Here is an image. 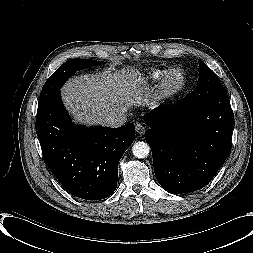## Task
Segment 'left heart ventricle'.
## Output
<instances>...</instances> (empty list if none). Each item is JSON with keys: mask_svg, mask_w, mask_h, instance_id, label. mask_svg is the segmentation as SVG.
Instances as JSON below:
<instances>
[{"mask_svg": "<svg viewBox=\"0 0 253 253\" xmlns=\"http://www.w3.org/2000/svg\"><path fill=\"white\" fill-rule=\"evenodd\" d=\"M181 81V78L179 75H173L168 82L169 87L173 88L176 87Z\"/></svg>", "mask_w": 253, "mask_h": 253, "instance_id": "b2bd125f", "label": "left heart ventricle"}]
</instances>
